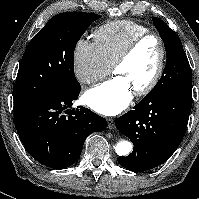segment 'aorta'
Returning a JSON list of instances; mask_svg holds the SVG:
<instances>
[{"label": "aorta", "instance_id": "obj_1", "mask_svg": "<svg viewBox=\"0 0 199 199\" xmlns=\"http://www.w3.org/2000/svg\"><path fill=\"white\" fill-rule=\"evenodd\" d=\"M132 150V144L126 140H120L115 146V151L119 156H126Z\"/></svg>", "mask_w": 199, "mask_h": 199}]
</instances>
